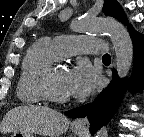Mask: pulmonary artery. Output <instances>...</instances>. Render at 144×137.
Instances as JSON below:
<instances>
[{
    "instance_id": "e3ab8cb5",
    "label": "pulmonary artery",
    "mask_w": 144,
    "mask_h": 137,
    "mask_svg": "<svg viewBox=\"0 0 144 137\" xmlns=\"http://www.w3.org/2000/svg\"><path fill=\"white\" fill-rule=\"evenodd\" d=\"M59 57L72 56L78 53H105L107 44L103 40L75 35L57 36L52 41Z\"/></svg>"
}]
</instances>
